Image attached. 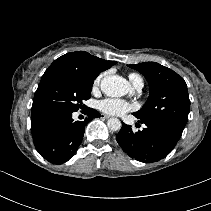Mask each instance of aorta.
Wrapping results in <instances>:
<instances>
[{"instance_id": "762f6f07", "label": "aorta", "mask_w": 211, "mask_h": 211, "mask_svg": "<svg viewBox=\"0 0 211 211\" xmlns=\"http://www.w3.org/2000/svg\"><path fill=\"white\" fill-rule=\"evenodd\" d=\"M100 88L109 97H121L128 92L129 83L118 75L106 76L101 80ZM107 126L112 131H118L121 128V121L117 118H110Z\"/></svg>"}]
</instances>
